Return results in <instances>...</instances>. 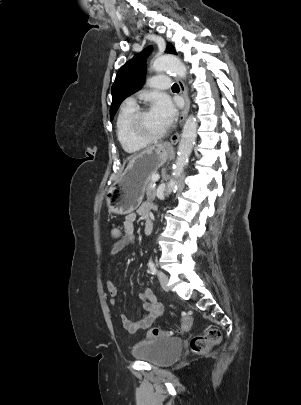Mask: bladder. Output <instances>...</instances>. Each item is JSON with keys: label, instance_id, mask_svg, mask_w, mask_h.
I'll return each instance as SVG.
<instances>
[{"label": "bladder", "instance_id": "31cf9c89", "mask_svg": "<svg viewBox=\"0 0 301 405\" xmlns=\"http://www.w3.org/2000/svg\"><path fill=\"white\" fill-rule=\"evenodd\" d=\"M182 342L176 338L157 337L137 342L132 348V355L155 366H169L181 355Z\"/></svg>", "mask_w": 301, "mask_h": 405}]
</instances>
